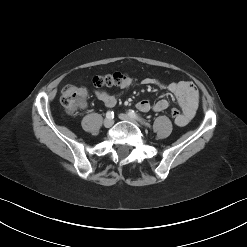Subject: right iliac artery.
I'll use <instances>...</instances> for the list:
<instances>
[{
	"label": "right iliac artery",
	"mask_w": 247,
	"mask_h": 247,
	"mask_svg": "<svg viewBox=\"0 0 247 247\" xmlns=\"http://www.w3.org/2000/svg\"><path fill=\"white\" fill-rule=\"evenodd\" d=\"M106 117L109 118V119L114 118V112L108 111V112L106 113Z\"/></svg>",
	"instance_id": "obj_1"
}]
</instances>
